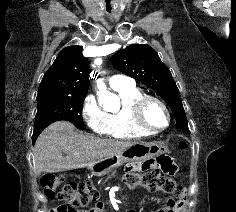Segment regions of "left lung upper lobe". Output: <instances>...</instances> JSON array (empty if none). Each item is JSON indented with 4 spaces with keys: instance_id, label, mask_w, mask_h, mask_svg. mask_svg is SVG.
<instances>
[{
    "instance_id": "obj_1",
    "label": "left lung upper lobe",
    "mask_w": 236,
    "mask_h": 212,
    "mask_svg": "<svg viewBox=\"0 0 236 212\" xmlns=\"http://www.w3.org/2000/svg\"><path fill=\"white\" fill-rule=\"evenodd\" d=\"M113 66L153 89L170 106L176 127L189 132L188 122L177 85L157 52L147 44H135L117 51Z\"/></svg>"
}]
</instances>
